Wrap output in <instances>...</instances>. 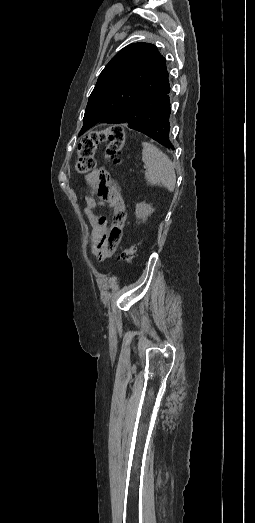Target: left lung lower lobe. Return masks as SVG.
Returning <instances> with one entry per match:
<instances>
[{
	"label": "left lung lower lobe",
	"mask_w": 255,
	"mask_h": 523,
	"mask_svg": "<svg viewBox=\"0 0 255 523\" xmlns=\"http://www.w3.org/2000/svg\"><path fill=\"white\" fill-rule=\"evenodd\" d=\"M170 114H173V111H170ZM172 116L173 115H165V118L161 121H156L152 125L134 127V130H137V132H144L146 137H152V140H158L157 144L159 146L164 145L167 150H170L172 145L169 141V134L171 132L170 123H173Z\"/></svg>",
	"instance_id": "left-lung-lower-lobe-1"
}]
</instances>
